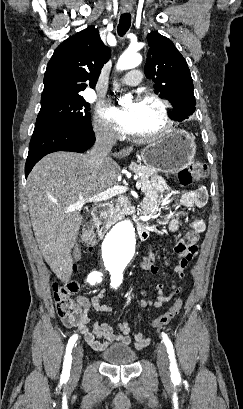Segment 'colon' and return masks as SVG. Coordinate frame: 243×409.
<instances>
[{
  "label": "colon",
  "mask_w": 243,
  "mask_h": 409,
  "mask_svg": "<svg viewBox=\"0 0 243 409\" xmlns=\"http://www.w3.org/2000/svg\"><path fill=\"white\" fill-rule=\"evenodd\" d=\"M208 175L207 166L201 161L192 162L186 169L178 174L179 182L186 186L193 179L201 180ZM95 235L90 228L86 229L83 235V245L91 250L95 244ZM79 284L76 281H69L64 284L53 285V295L56 311L62 321L68 326L77 325L82 318V310L73 296L78 292ZM182 301L177 299L160 317L152 321L154 327H164L169 324L180 312Z\"/></svg>",
  "instance_id": "1"
}]
</instances>
